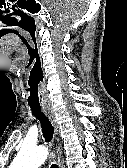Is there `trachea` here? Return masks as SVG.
<instances>
[{
  "mask_svg": "<svg viewBox=\"0 0 127 168\" xmlns=\"http://www.w3.org/2000/svg\"><path fill=\"white\" fill-rule=\"evenodd\" d=\"M30 108L35 118L38 119L41 124L44 139L46 142H50L54 133V127L52 123L50 122L49 118L41 111L40 106H30ZM51 168L59 167L56 163H52Z\"/></svg>",
  "mask_w": 127,
  "mask_h": 168,
  "instance_id": "3493384b",
  "label": "trachea"
}]
</instances>
